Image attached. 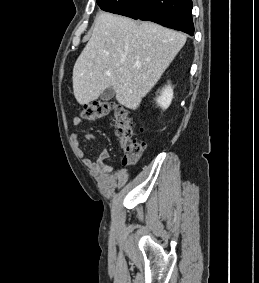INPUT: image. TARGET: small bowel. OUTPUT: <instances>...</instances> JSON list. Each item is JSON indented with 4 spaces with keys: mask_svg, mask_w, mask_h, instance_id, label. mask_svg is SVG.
<instances>
[{
    "mask_svg": "<svg viewBox=\"0 0 259 283\" xmlns=\"http://www.w3.org/2000/svg\"><path fill=\"white\" fill-rule=\"evenodd\" d=\"M81 123H82V119L78 116L74 117L72 120V125L75 128L79 127ZM72 139L77 143L79 141V134L76 132L73 133ZM85 139L87 141L93 142L96 141V136L91 132H87L85 134ZM79 153H82L80 149H79ZM108 157H109L108 149L102 148L95 159L93 157H84L83 163L92 170L97 171L101 173L104 177H106L109 176L112 171V166L106 163V159Z\"/></svg>",
    "mask_w": 259,
    "mask_h": 283,
    "instance_id": "small-bowel-1",
    "label": "small bowel"
}]
</instances>
